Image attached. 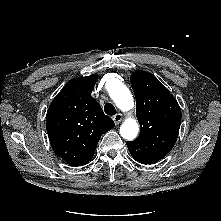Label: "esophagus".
I'll return each instance as SVG.
<instances>
[{
    "instance_id": "esophagus-1",
    "label": "esophagus",
    "mask_w": 221,
    "mask_h": 221,
    "mask_svg": "<svg viewBox=\"0 0 221 221\" xmlns=\"http://www.w3.org/2000/svg\"><path fill=\"white\" fill-rule=\"evenodd\" d=\"M122 119H123V115L120 113L113 116V120L116 125L119 124L122 121Z\"/></svg>"
}]
</instances>
